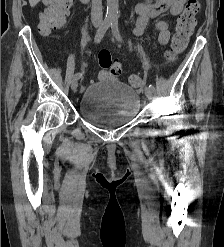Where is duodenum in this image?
Listing matches in <instances>:
<instances>
[{
  "mask_svg": "<svg viewBox=\"0 0 224 247\" xmlns=\"http://www.w3.org/2000/svg\"><path fill=\"white\" fill-rule=\"evenodd\" d=\"M90 0H81L82 3L86 4L88 3Z\"/></svg>",
  "mask_w": 224,
  "mask_h": 247,
  "instance_id": "duodenum-1",
  "label": "duodenum"
}]
</instances>
